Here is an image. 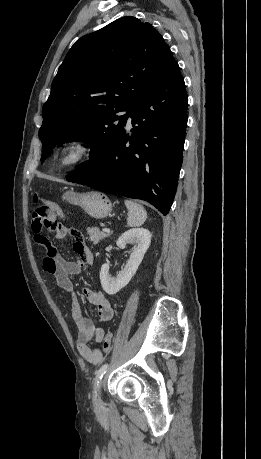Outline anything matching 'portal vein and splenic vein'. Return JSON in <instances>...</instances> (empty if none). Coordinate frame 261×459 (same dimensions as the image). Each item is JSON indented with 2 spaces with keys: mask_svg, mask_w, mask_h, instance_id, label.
Returning <instances> with one entry per match:
<instances>
[{
  "mask_svg": "<svg viewBox=\"0 0 261 459\" xmlns=\"http://www.w3.org/2000/svg\"><path fill=\"white\" fill-rule=\"evenodd\" d=\"M103 231L110 232V229L109 228H104Z\"/></svg>",
  "mask_w": 261,
  "mask_h": 459,
  "instance_id": "1",
  "label": "portal vein and splenic vein"
}]
</instances>
